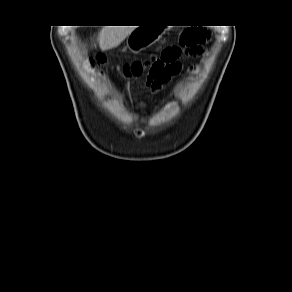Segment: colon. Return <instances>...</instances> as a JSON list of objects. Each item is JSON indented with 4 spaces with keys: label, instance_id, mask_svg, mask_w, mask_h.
<instances>
[{
    "label": "colon",
    "instance_id": "obj_1",
    "mask_svg": "<svg viewBox=\"0 0 292 292\" xmlns=\"http://www.w3.org/2000/svg\"><path fill=\"white\" fill-rule=\"evenodd\" d=\"M209 37V33L203 28H190L184 31L180 38V45L166 49L161 56L153 57L144 61H134L120 67L123 73L129 77H135L149 73L148 83L154 87L165 83L179 69L178 59L183 52L196 53L198 46L204 43ZM106 63L103 56H98L92 61V66L102 67Z\"/></svg>",
    "mask_w": 292,
    "mask_h": 292
}]
</instances>
